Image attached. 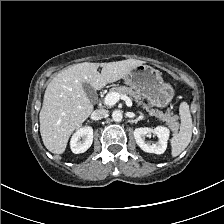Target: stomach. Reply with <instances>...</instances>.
<instances>
[{
	"instance_id": "0dacf381",
	"label": "stomach",
	"mask_w": 224,
	"mask_h": 224,
	"mask_svg": "<svg viewBox=\"0 0 224 224\" xmlns=\"http://www.w3.org/2000/svg\"><path fill=\"white\" fill-rule=\"evenodd\" d=\"M124 81L147 99L152 106L164 108L172 101L175 91L164 82L159 70L148 65H138L128 72Z\"/></svg>"
}]
</instances>
